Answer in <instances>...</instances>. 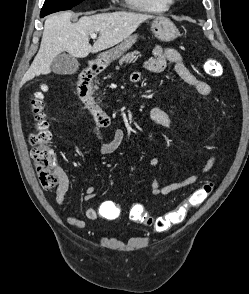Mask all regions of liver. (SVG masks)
I'll use <instances>...</instances> for the list:
<instances>
[{
  "label": "liver",
  "instance_id": "liver-1",
  "mask_svg": "<svg viewBox=\"0 0 249 294\" xmlns=\"http://www.w3.org/2000/svg\"><path fill=\"white\" fill-rule=\"evenodd\" d=\"M72 16L71 12H64L45 20L40 49L22 83L41 74H49L54 58L62 52L84 58L90 53L108 49L125 40L142 22L151 18L150 15L118 11L84 16L72 23ZM94 32H99L100 36L91 46L89 35Z\"/></svg>",
  "mask_w": 249,
  "mask_h": 294
}]
</instances>
